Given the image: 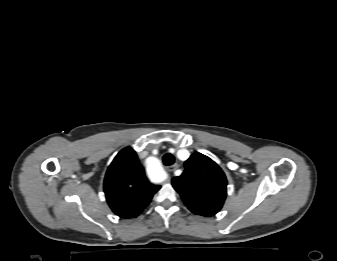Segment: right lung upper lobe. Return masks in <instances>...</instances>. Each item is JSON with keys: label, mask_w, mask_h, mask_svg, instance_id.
I'll use <instances>...</instances> for the list:
<instances>
[{"label": "right lung upper lobe", "mask_w": 337, "mask_h": 261, "mask_svg": "<svg viewBox=\"0 0 337 261\" xmlns=\"http://www.w3.org/2000/svg\"><path fill=\"white\" fill-rule=\"evenodd\" d=\"M160 186L147 179L135 151L126 147L114 158L105 175L104 192L112 211L135 218L148 206Z\"/></svg>", "instance_id": "obj_1"}]
</instances>
